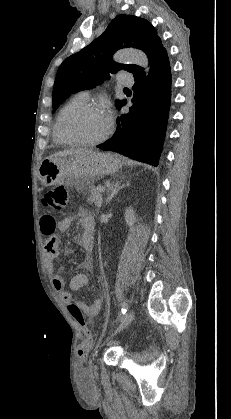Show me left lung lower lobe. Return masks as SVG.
<instances>
[{"mask_svg":"<svg viewBox=\"0 0 231 419\" xmlns=\"http://www.w3.org/2000/svg\"><path fill=\"white\" fill-rule=\"evenodd\" d=\"M133 105L117 118L113 137L97 147L157 166L165 137L171 101V68L167 51L150 65V72L134 76ZM121 101L118 108L126 104Z\"/></svg>","mask_w":231,"mask_h":419,"instance_id":"0a47b994","label":"left lung lower lobe"}]
</instances>
